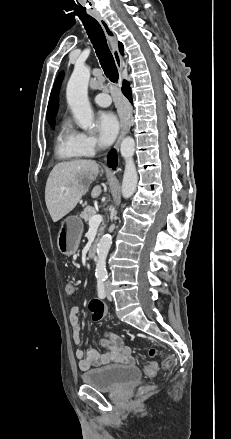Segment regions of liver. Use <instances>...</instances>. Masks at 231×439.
<instances>
[{"label":"liver","mask_w":231,"mask_h":439,"mask_svg":"<svg viewBox=\"0 0 231 439\" xmlns=\"http://www.w3.org/2000/svg\"><path fill=\"white\" fill-rule=\"evenodd\" d=\"M99 173L94 160H74L55 165L49 174L45 188V202L53 222L70 213ZM100 186L91 192L92 198L100 195Z\"/></svg>","instance_id":"1"}]
</instances>
